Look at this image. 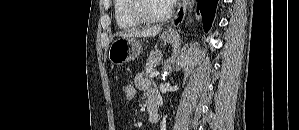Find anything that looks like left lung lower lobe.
<instances>
[{
	"instance_id": "obj_1",
	"label": "left lung lower lobe",
	"mask_w": 299,
	"mask_h": 130,
	"mask_svg": "<svg viewBox=\"0 0 299 130\" xmlns=\"http://www.w3.org/2000/svg\"><path fill=\"white\" fill-rule=\"evenodd\" d=\"M197 1H198V7L200 9L203 18V27L205 32H207L210 29L212 21L214 19L218 0H197Z\"/></svg>"
}]
</instances>
